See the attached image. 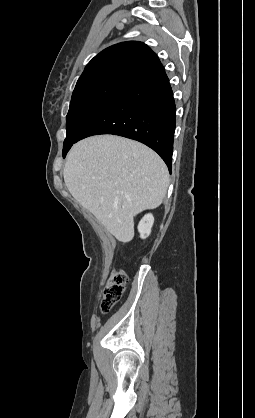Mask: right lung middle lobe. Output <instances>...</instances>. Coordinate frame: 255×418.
I'll use <instances>...</instances> for the list:
<instances>
[{
  "label": "right lung middle lobe",
  "instance_id": "right-lung-middle-lobe-1",
  "mask_svg": "<svg viewBox=\"0 0 255 418\" xmlns=\"http://www.w3.org/2000/svg\"><path fill=\"white\" fill-rule=\"evenodd\" d=\"M125 86L95 82L75 87L66 117V139L63 149L72 144L94 115Z\"/></svg>",
  "mask_w": 255,
  "mask_h": 418
}]
</instances>
